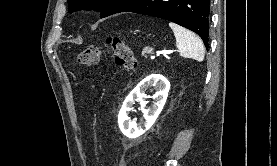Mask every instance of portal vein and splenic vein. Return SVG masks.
Instances as JSON below:
<instances>
[{"instance_id":"18ae733b","label":"portal vein and splenic vein","mask_w":277,"mask_h":166,"mask_svg":"<svg viewBox=\"0 0 277 166\" xmlns=\"http://www.w3.org/2000/svg\"><path fill=\"white\" fill-rule=\"evenodd\" d=\"M155 58V56H151V59H154Z\"/></svg>"}]
</instances>
